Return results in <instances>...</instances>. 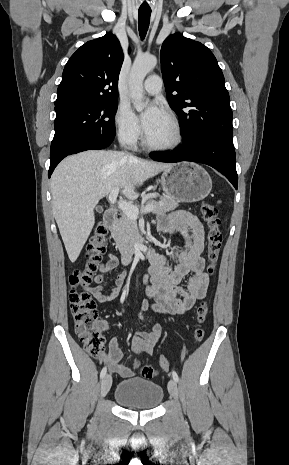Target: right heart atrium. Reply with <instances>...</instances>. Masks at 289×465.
<instances>
[{
	"instance_id": "obj_1",
	"label": "right heart atrium",
	"mask_w": 289,
	"mask_h": 465,
	"mask_svg": "<svg viewBox=\"0 0 289 465\" xmlns=\"http://www.w3.org/2000/svg\"><path fill=\"white\" fill-rule=\"evenodd\" d=\"M114 126L118 139L125 145H135L141 136L139 121L126 104L118 106L114 115Z\"/></svg>"
}]
</instances>
